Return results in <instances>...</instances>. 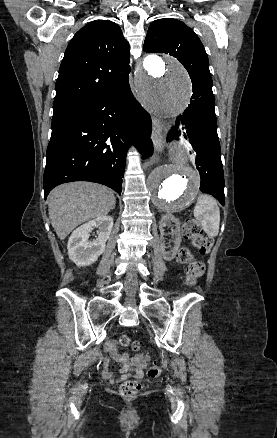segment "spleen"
<instances>
[{
	"mask_svg": "<svg viewBox=\"0 0 277 438\" xmlns=\"http://www.w3.org/2000/svg\"><path fill=\"white\" fill-rule=\"evenodd\" d=\"M196 220H200L204 232L208 236H218L220 224V210L211 196H199L194 208Z\"/></svg>",
	"mask_w": 277,
	"mask_h": 438,
	"instance_id": "1",
	"label": "spleen"
}]
</instances>
